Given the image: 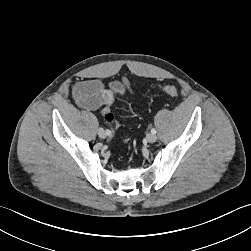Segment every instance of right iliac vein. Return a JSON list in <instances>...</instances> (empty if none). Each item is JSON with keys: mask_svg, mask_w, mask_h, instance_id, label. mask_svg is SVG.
<instances>
[{"mask_svg": "<svg viewBox=\"0 0 251 251\" xmlns=\"http://www.w3.org/2000/svg\"><path fill=\"white\" fill-rule=\"evenodd\" d=\"M98 135L102 139L106 138V136H107V134H106V132H105V130L103 128L98 129Z\"/></svg>", "mask_w": 251, "mask_h": 251, "instance_id": "63e3f726", "label": "right iliac vein"}]
</instances>
